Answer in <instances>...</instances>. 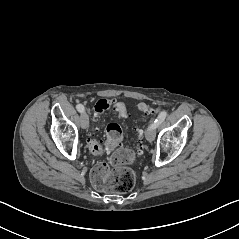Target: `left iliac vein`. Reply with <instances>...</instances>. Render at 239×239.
<instances>
[{
	"label": "left iliac vein",
	"instance_id": "4c4485c4",
	"mask_svg": "<svg viewBox=\"0 0 239 239\" xmlns=\"http://www.w3.org/2000/svg\"><path fill=\"white\" fill-rule=\"evenodd\" d=\"M155 127H154V119L151 120V124L150 126L148 127L147 131H146V139L148 141H153L155 139V136H156V131H155Z\"/></svg>",
	"mask_w": 239,
	"mask_h": 239
}]
</instances>
